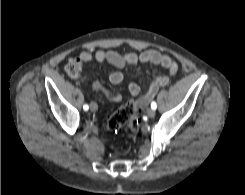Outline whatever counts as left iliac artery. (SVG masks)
Returning <instances> with one entry per match:
<instances>
[{
	"mask_svg": "<svg viewBox=\"0 0 245 195\" xmlns=\"http://www.w3.org/2000/svg\"><path fill=\"white\" fill-rule=\"evenodd\" d=\"M151 108H152L153 110H156L157 104H156L155 101H153V102L151 103Z\"/></svg>",
	"mask_w": 245,
	"mask_h": 195,
	"instance_id": "1",
	"label": "left iliac artery"
}]
</instances>
